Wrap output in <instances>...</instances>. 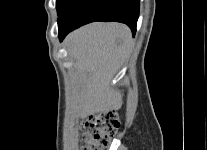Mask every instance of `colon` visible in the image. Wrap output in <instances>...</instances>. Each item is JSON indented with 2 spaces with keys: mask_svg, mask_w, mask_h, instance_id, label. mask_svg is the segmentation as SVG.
I'll return each instance as SVG.
<instances>
[{
  "mask_svg": "<svg viewBox=\"0 0 207 150\" xmlns=\"http://www.w3.org/2000/svg\"><path fill=\"white\" fill-rule=\"evenodd\" d=\"M83 128L81 150H104L119 130L120 120L114 111L100 112L86 117Z\"/></svg>",
  "mask_w": 207,
  "mask_h": 150,
  "instance_id": "1",
  "label": "colon"
}]
</instances>
